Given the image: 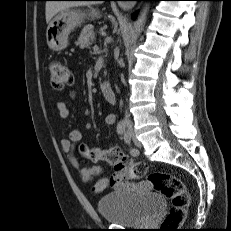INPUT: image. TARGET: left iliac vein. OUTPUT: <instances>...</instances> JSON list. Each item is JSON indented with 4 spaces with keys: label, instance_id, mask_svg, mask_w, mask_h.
Here are the masks:
<instances>
[{
    "label": "left iliac vein",
    "instance_id": "1",
    "mask_svg": "<svg viewBox=\"0 0 231 231\" xmlns=\"http://www.w3.org/2000/svg\"><path fill=\"white\" fill-rule=\"evenodd\" d=\"M133 143L135 144L136 147L140 148L141 147V142L137 139V137L135 136V134L133 132L130 133Z\"/></svg>",
    "mask_w": 231,
    "mask_h": 231
}]
</instances>
